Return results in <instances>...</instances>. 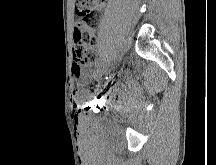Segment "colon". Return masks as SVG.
<instances>
[{
	"instance_id": "1",
	"label": "colon",
	"mask_w": 216,
	"mask_h": 165,
	"mask_svg": "<svg viewBox=\"0 0 216 165\" xmlns=\"http://www.w3.org/2000/svg\"><path fill=\"white\" fill-rule=\"evenodd\" d=\"M104 0H76L77 22L74 28V59L79 66L94 68L97 62L95 33Z\"/></svg>"
}]
</instances>
